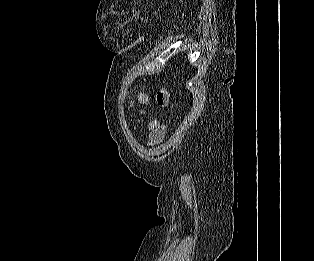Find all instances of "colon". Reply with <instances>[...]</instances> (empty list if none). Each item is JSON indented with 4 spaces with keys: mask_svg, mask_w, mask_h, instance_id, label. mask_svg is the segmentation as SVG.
Instances as JSON below:
<instances>
[{
    "mask_svg": "<svg viewBox=\"0 0 314 261\" xmlns=\"http://www.w3.org/2000/svg\"><path fill=\"white\" fill-rule=\"evenodd\" d=\"M169 92L165 85H162V87L159 89V91L156 94V102L160 107H164L169 102Z\"/></svg>",
    "mask_w": 314,
    "mask_h": 261,
    "instance_id": "5ec220e1",
    "label": "colon"
}]
</instances>
